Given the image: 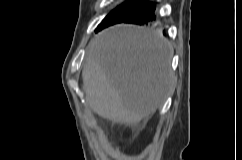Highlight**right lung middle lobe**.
<instances>
[{"label": "right lung middle lobe", "instance_id": "dd1d6c3e", "mask_svg": "<svg viewBox=\"0 0 242 160\" xmlns=\"http://www.w3.org/2000/svg\"><path fill=\"white\" fill-rule=\"evenodd\" d=\"M145 2L143 0H128L113 11H111L104 20L98 25L95 32H98L110 25L116 24L123 19H125L127 16H129L132 12L136 11L138 8H140L142 5H144Z\"/></svg>", "mask_w": 242, "mask_h": 160}]
</instances>
